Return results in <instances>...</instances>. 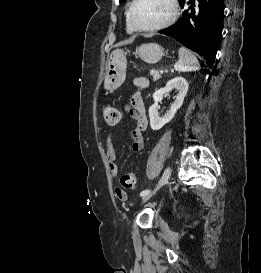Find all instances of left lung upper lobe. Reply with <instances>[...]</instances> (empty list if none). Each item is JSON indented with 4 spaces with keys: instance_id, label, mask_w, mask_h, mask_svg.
Returning a JSON list of instances; mask_svg holds the SVG:
<instances>
[{
    "instance_id": "1",
    "label": "left lung upper lobe",
    "mask_w": 261,
    "mask_h": 273,
    "mask_svg": "<svg viewBox=\"0 0 261 273\" xmlns=\"http://www.w3.org/2000/svg\"><path fill=\"white\" fill-rule=\"evenodd\" d=\"M125 0H120V3L124 2Z\"/></svg>"
}]
</instances>
